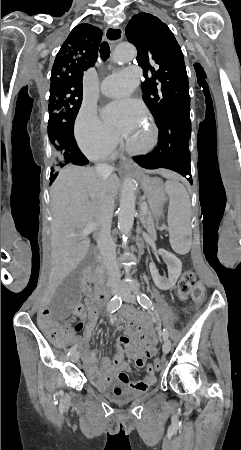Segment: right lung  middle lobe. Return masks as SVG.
<instances>
[{"label":"right lung middle lobe","mask_w":241,"mask_h":450,"mask_svg":"<svg viewBox=\"0 0 241 450\" xmlns=\"http://www.w3.org/2000/svg\"><path fill=\"white\" fill-rule=\"evenodd\" d=\"M82 95V88L71 85L50 87L48 135L51 144L52 172L70 164L69 149L63 134H73Z\"/></svg>","instance_id":"obj_1"}]
</instances>
